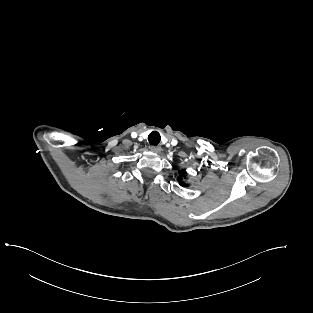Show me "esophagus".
Instances as JSON below:
<instances>
[{"instance_id":"esophagus-1","label":"esophagus","mask_w":313,"mask_h":313,"mask_svg":"<svg viewBox=\"0 0 313 313\" xmlns=\"http://www.w3.org/2000/svg\"><path fill=\"white\" fill-rule=\"evenodd\" d=\"M150 150L154 153H159L161 151L160 146H150Z\"/></svg>"}]
</instances>
